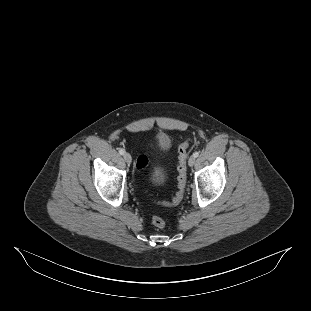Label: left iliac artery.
<instances>
[{"label":"left iliac artery","mask_w":311,"mask_h":311,"mask_svg":"<svg viewBox=\"0 0 311 311\" xmlns=\"http://www.w3.org/2000/svg\"><path fill=\"white\" fill-rule=\"evenodd\" d=\"M193 156H194V157H198V156H199V152H197V151L194 152V153H193Z\"/></svg>","instance_id":"44dca946"}]
</instances>
